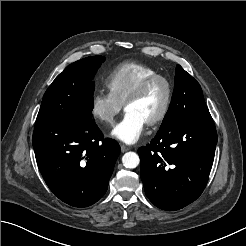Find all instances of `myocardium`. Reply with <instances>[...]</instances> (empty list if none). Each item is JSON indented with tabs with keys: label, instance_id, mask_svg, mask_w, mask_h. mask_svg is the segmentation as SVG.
Masks as SVG:
<instances>
[{
	"label": "myocardium",
	"instance_id": "myocardium-1",
	"mask_svg": "<svg viewBox=\"0 0 246 246\" xmlns=\"http://www.w3.org/2000/svg\"><path fill=\"white\" fill-rule=\"evenodd\" d=\"M155 81H162L166 87V98L164 105L159 112L157 116H155L153 119L147 122L149 126H155L159 123H161L167 116L171 104H172V98H173V86L171 81L164 75L162 74H154L151 75L144 80H142L138 86L129 94V96L126 98L124 102V108L126 109L127 105L136 101L139 99L145 92L146 90L155 82Z\"/></svg>",
	"mask_w": 246,
	"mask_h": 246
}]
</instances>
